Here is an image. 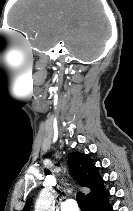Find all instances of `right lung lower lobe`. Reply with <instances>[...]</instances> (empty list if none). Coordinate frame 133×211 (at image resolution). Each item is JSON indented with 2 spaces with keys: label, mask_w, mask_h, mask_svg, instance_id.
I'll return each mask as SVG.
<instances>
[{
  "label": "right lung lower lobe",
  "mask_w": 133,
  "mask_h": 211,
  "mask_svg": "<svg viewBox=\"0 0 133 211\" xmlns=\"http://www.w3.org/2000/svg\"><path fill=\"white\" fill-rule=\"evenodd\" d=\"M109 195L102 201L89 204L90 211H113L112 206L108 200Z\"/></svg>",
  "instance_id": "1"
}]
</instances>
